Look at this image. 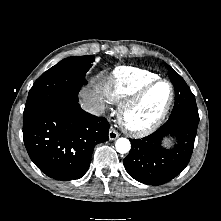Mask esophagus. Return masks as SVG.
<instances>
[{"label": "esophagus", "mask_w": 221, "mask_h": 221, "mask_svg": "<svg viewBox=\"0 0 221 221\" xmlns=\"http://www.w3.org/2000/svg\"><path fill=\"white\" fill-rule=\"evenodd\" d=\"M109 140H115L119 137V133L114 129V128H111L109 130Z\"/></svg>", "instance_id": "1"}]
</instances>
